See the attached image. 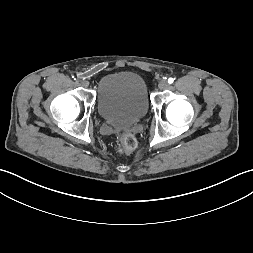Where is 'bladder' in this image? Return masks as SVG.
I'll return each instance as SVG.
<instances>
[{
  "label": "bladder",
  "mask_w": 253,
  "mask_h": 253,
  "mask_svg": "<svg viewBox=\"0 0 253 253\" xmlns=\"http://www.w3.org/2000/svg\"><path fill=\"white\" fill-rule=\"evenodd\" d=\"M96 104L104 121L120 127L132 125L148 112L146 83L133 72L106 75L98 82Z\"/></svg>",
  "instance_id": "bladder-1"
}]
</instances>
